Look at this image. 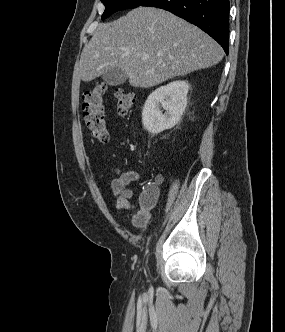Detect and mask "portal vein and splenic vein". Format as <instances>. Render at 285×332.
Masks as SVG:
<instances>
[{
    "label": "portal vein and splenic vein",
    "mask_w": 285,
    "mask_h": 332,
    "mask_svg": "<svg viewBox=\"0 0 285 332\" xmlns=\"http://www.w3.org/2000/svg\"><path fill=\"white\" fill-rule=\"evenodd\" d=\"M143 59H144V60H147V59H148V56H144Z\"/></svg>",
    "instance_id": "1"
}]
</instances>
